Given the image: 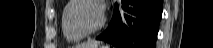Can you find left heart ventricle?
I'll use <instances>...</instances> for the list:
<instances>
[{"label":"left heart ventricle","instance_id":"1","mask_svg":"<svg viewBox=\"0 0 213 48\" xmlns=\"http://www.w3.org/2000/svg\"><path fill=\"white\" fill-rule=\"evenodd\" d=\"M74 15L82 27L93 29L100 22L101 9L95 3L84 2L75 10Z\"/></svg>","mask_w":213,"mask_h":48}]
</instances>
